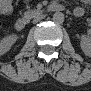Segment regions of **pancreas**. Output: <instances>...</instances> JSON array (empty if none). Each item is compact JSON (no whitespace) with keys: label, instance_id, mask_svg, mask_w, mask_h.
Returning <instances> with one entry per match:
<instances>
[{"label":"pancreas","instance_id":"cf45deb5","mask_svg":"<svg viewBox=\"0 0 91 91\" xmlns=\"http://www.w3.org/2000/svg\"><path fill=\"white\" fill-rule=\"evenodd\" d=\"M38 13H39V11H36V10H28L27 12L24 13V16L28 17V18H33Z\"/></svg>","mask_w":91,"mask_h":91}]
</instances>
